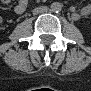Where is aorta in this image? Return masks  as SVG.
Segmentation results:
<instances>
[{"instance_id": "obj_1", "label": "aorta", "mask_w": 91, "mask_h": 91, "mask_svg": "<svg viewBox=\"0 0 91 91\" xmlns=\"http://www.w3.org/2000/svg\"><path fill=\"white\" fill-rule=\"evenodd\" d=\"M62 10V4L59 3V2H53L51 4V11L52 12H55V13H58Z\"/></svg>"}]
</instances>
